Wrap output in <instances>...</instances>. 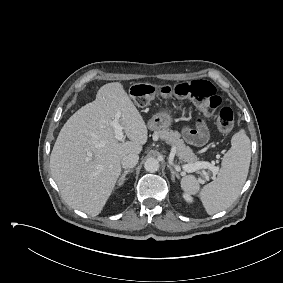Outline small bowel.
<instances>
[{
    "instance_id": "obj_1",
    "label": "small bowel",
    "mask_w": 283,
    "mask_h": 283,
    "mask_svg": "<svg viewBox=\"0 0 283 283\" xmlns=\"http://www.w3.org/2000/svg\"><path fill=\"white\" fill-rule=\"evenodd\" d=\"M186 141L194 146L203 145L208 139V129L205 123L200 120L196 128L186 127L183 130Z\"/></svg>"
}]
</instances>
